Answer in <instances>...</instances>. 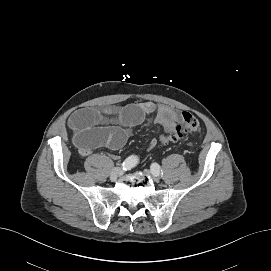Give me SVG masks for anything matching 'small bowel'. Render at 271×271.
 I'll return each instance as SVG.
<instances>
[{
	"label": "small bowel",
	"instance_id": "obj_1",
	"mask_svg": "<svg viewBox=\"0 0 271 271\" xmlns=\"http://www.w3.org/2000/svg\"><path fill=\"white\" fill-rule=\"evenodd\" d=\"M148 115H154L156 122L166 128L182 120L176 110L150 102L103 110L81 109L69 118L73 142L82 155L99 147L119 149L126 143L130 129L142 123ZM107 122L114 125H104ZM153 145L152 142L150 147Z\"/></svg>",
	"mask_w": 271,
	"mask_h": 271
}]
</instances>
